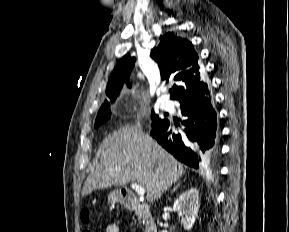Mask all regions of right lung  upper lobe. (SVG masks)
<instances>
[{
    "mask_svg": "<svg viewBox=\"0 0 289 232\" xmlns=\"http://www.w3.org/2000/svg\"><path fill=\"white\" fill-rule=\"evenodd\" d=\"M159 64L161 78L169 77L180 83L174 85L172 99L182 101L211 94L204 73L198 64V55L193 45L187 39L177 37L173 32H168L160 37V44L150 54ZM135 58L125 55L116 65L106 88V95L111 99L120 92L124 82H128L130 72L134 66Z\"/></svg>",
    "mask_w": 289,
    "mask_h": 232,
    "instance_id": "right-lung-upper-lobe-1",
    "label": "right lung upper lobe"
}]
</instances>
